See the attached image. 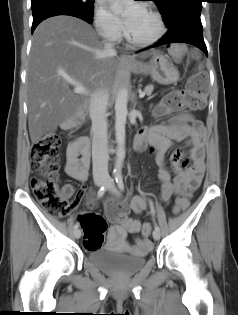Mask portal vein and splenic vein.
I'll use <instances>...</instances> for the list:
<instances>
[{
  "instance_id": "portal-vein-and-splenic-vein-1",
  "label": "portal vein and splenic vein",
  "mask_w": 238,
  "mask_h": 315,
  "mask_svg": "<svg viewBox=\"0 0 238 315\" xmlns=\"http://www.w3.org/2000/svg\"><path fill=\"white\" fill-rule=\"evenodd\" d=\"M68 83L74 86V92L77 94H82V95H86L88 94V91L86 90V88L81 84L78 83L72 79H67ZM145 96V92H140L139 97L143 98Z\"/></svg>"
}]
</instances>
